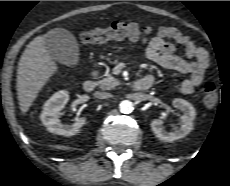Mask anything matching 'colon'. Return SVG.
<instances>
[{
    "label": "colon",
    "mask_w": 230,
    "mask_h": 186,
    "mask_svg": "<svg viewBox=\"0 0 230 186\" xmlns=\"http://www.w3.org/2000/svg\"><path fill=\"white\" fill-rule=\"evenodd\" d=\"M150 28H141L134 23L115 21L106 28H97L85 31L80 39L86 44H99L111 40H140L146 39ZM203 101L207 107H213L218 102V86L215 82H207L203 88Z\"/></svg>",
    "instance_id": "obj_1"
}]
</instances>
